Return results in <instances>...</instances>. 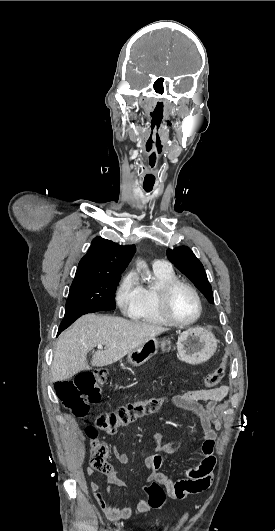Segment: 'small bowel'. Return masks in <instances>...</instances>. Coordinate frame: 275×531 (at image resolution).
I'll use <instances>...</instances> for the list:
<instances>
[{"mask_svg":"<svg viewBox=\"0 0 275 531\" xmlns=\"http://www.w3.org/2000/svg\"><path fill=\"white\" fill-rule=\"evenodd\" d=\"M229 391L228 386L222 385L212 389L187 390L172 397L171 402L175 408L192 411L198 416L203 430V438L198 449L202 455L199 465L190 470L185 478L173 481L160 471V467L162 455L174 452L178 446V441L165 443L159 432L153 434L152 441L155 453L144 458V465L149 471L150 477L165 487L171 499H186L191 494L205 491L211 485L216 465V436L222 425L218 403L228 396ZM113 454L120 464H126L129 461V456L117 447L113 448ZM86 474L93 476L95 471L92 467H87ZM106 481L109 486L125 487V483L114 471L107 474ZM90 488L98 506L110 520L130 519L134 514L142 515L150 510L146 500H137L133 511L126 505H114L110 500L109 489L104 491L101 484L91 482Z\"/></svg>","mask_w":275,"mask_h":531,"instance_id":"1","label":"small bowel"}]
</instances>
